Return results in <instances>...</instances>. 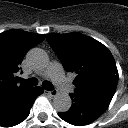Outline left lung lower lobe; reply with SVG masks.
Segmentation results:
<instances>
[{
  "label": "left lung lower lobe",
  "mask_w": 128,
  "mask_h": 128,
  "mask_svg": "<svg viewBox=\"0 0 128 128\" xmlns=\"http://www.w3.org/2000/svg\"><path fill=\"white\" fill-rule=\"evenodd\" d=\"M72 107L65 113H58L64 121L83 126L92 123L108 108L111 99L106 96L70 94Z\"/></svg>",
  "instance_id": "left-lung-lower-lobe-1"
}]
</instances>
